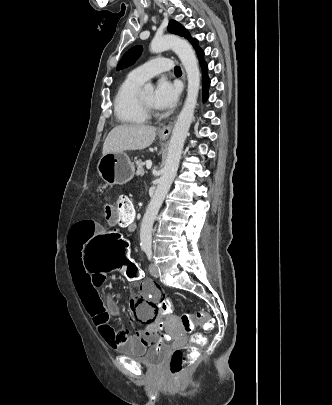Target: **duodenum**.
<instances>
[{
  "instance_id": "obj_1",
  "label": "duodenum",
  "mask_w": 332,
  "mask_h": 405,
  "mask_svg": "<svg viewBox=\"0 0 332 405\" xmlns=\"http://www.w3.org/2000/svg\"><path fill=\"white\" fill-rule=\"evenodd\" d=\"M126 226L129 231L134 232L137 229V222L135 218L130 219L127 223Z\"/></svg>"
}]
</instances>
